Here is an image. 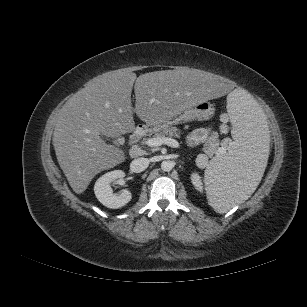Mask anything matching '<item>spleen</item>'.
<instances>
[{"label":"spleen","instance_id":"3e777b00","mask_svg":"<svg viewBox=\"0 0 307 307\" xmlns=\"http://www.w3.org/2000/svg\"><path fill=\"white\" fill-rule=\"evenodd\" d=\"M227 112L237 129L227 154L214 158L205 170L207 198L218 213H226L249 198L264 172L270 151L265 115L252 97L233 92Z\"/></svg>","mask_w":307,"mask_h":307}]
</instances>
